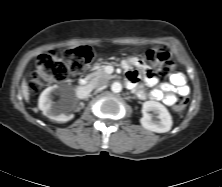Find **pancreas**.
I'll use <instances>...</instances> for the list:
<instances>
[{
    "instance_id": "obj_1",
    "label": "pancreas",
    "mask_w": 222,
    "mask_h": 187,
    "mask_svg": "<svg viewBox=\"0 0 222 187\" xmlns=\"http://www.w3.org/2000/svg\"><path fill=\"white\" fill-rule=\"evenodd\" d=\"M91 77H98L104 79H111L114 78L113 75L107 74L103 69L97 70L91 74Z\"/></svg>"
}]
</instances>
